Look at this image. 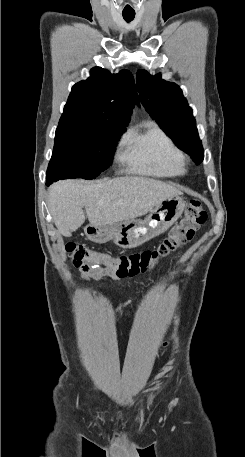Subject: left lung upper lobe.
I'll list each match as a JSON object with an SVG mask.
<instances>
[{
    "label": "left lung upper lobe",
    "instance_id": "1",
    "mask_svg": "<svg viewBox=\"0 0 245 457\" xmlns=\"http://www.w3.org/2000/svg\"><path fill=\"white\" fill-rule=\"evenodd\" d=\"M137 89L143 106L161 129L200 164L204 152L196 121L179 86L161 79V74L151 76L141 69L137 72Z\"/></svg>",
    "mask_w": 245,
    "mask_h": 457
}]
</instances>
